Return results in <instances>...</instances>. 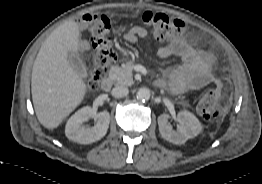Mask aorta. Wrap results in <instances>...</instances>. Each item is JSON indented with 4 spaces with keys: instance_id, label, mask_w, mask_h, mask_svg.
<instances>
[{
    "instance_id": "1",
    "label": "aorta",
    "mask_w": 262,
    "mask_h": 184,
    "mask_svg": "<svg viewBox=\"0 0 262 184\" xmlns=\"http://www.w3.org/2000/svg\"><path fill=\"white\" fill-rule=\"evenodd\" d=\"M150 90L147 88H140L137 92V99L141 101H147L150 99Z\"/></svg>"
}]
</instances>
